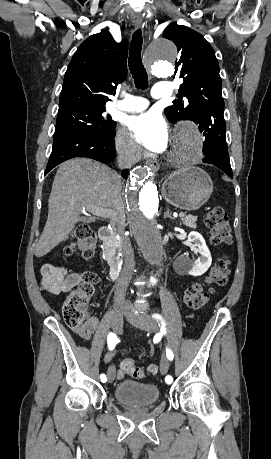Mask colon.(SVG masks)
<instances>
[{"label":"colon","instance_id":"1","mask_svg":"<svg viewBox=\"0 0 271 459\" xmlns=\"http://www.w3.org/2000/svg\"><path fill=\"white\" fill-rule=\"evenodd\" d=\"M204 224L210 230V241L215 246L229 245L232 242V233L229 217L222 208L211 209L204 217ZM96 248V233L88 225H79L73 231L70 238L62 249V254L69 256L75 250H79L83 257L91 258ZM230 275V262L225 256L218 257L208 276L201 283H193L187 287L184 300L188 307L199 309L209 300L211 291H205L204 285L223 286ZM98 283V276L93 272H85L81 282L66 296L63 307V316L66 324L76 327L86 321L88 315V304L95 293V286ZM121 368L124 372L134 378H142L143 371L130 357L121 361Z\"/></svg>","mask_w":271,"mask_h":459}]
</instances>
